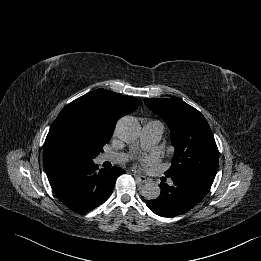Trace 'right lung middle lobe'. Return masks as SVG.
I'll use <instances>...</instances> for the list:
<instances>
[{
  "label": "right lung middle lobe",
  "mask_w": 261,
  "mask_h": 261,
  "mask_svg": "<svg viewBox=\"0 0 261 261\" xmlns=\"http://www.w3.org/2000/svg\"><path fill=\"white\" fill-rule=\"evenodd\" d=\"M112 136L87 112L69 116L60 126L51 142L54 158L64 166L93 162Z\"/></svg>",
  "instance_id": "right-lung-middle-lobe-1"
}]
</instances>
